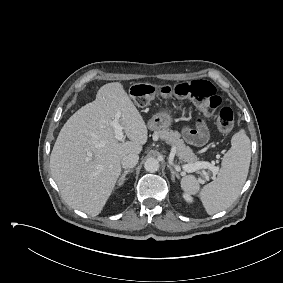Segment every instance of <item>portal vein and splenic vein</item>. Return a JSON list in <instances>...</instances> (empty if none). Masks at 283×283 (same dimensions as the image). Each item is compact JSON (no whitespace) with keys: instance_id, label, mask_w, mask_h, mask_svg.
Instances as JSON below:
<instances>
[{"instance_id":"1","label":"portal vein and splenic vein","mask_w":283,"mask_h":283,"mask_svg":"<svg viewBox=\"0 0 283 283\" xmlns=\"http://www.w3.org/2000/svg\"><path fill=\"white\" fill-rule=\"evenodd\" d=\"M118 117L119 116L117 115V118L112 120L110 124L114 129L115 138L118 141H122L123 138H124V134H123L124 127L119 124ZM202 167L210 169L214 174H216L218 172V167H216L214 164H211L209 162H197L195 164H186V165L183 166V169L186 172H195Z\"/></svg>"}]
</instances>
